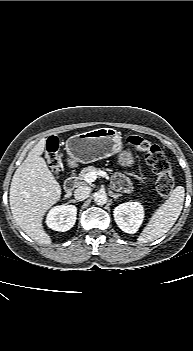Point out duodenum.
I'll list each match as a JSON object with an SVG mask.
<instances>
[{"label":"duodenum","mask_w":193,"mask_h":351,"mask_svg":"<svg viewBox=\"0 0 193 351\" xmlns=\"http://www.w3.org/2000/svg\"><path fill=\"white\" fill-rule=\"evenodd\" d=\"M65 190L68 192H72L77 187V182L73 175H70L64 183Z\"/></svg>","instance_id":"410a0bca"}]
</instances>
